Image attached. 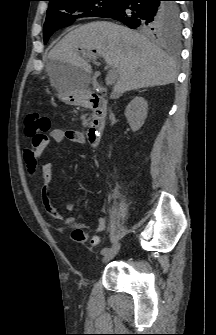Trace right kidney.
<instances>
[{"instance_id": "1", "label": "right kidney", "mask_w": 216, "mask_h": 335, "mask_svg": "<svg viewBox=\"0 0 216 335\" xmlns=\"http://www.w3.org/2000/svg\"><path fill=\"white\" fill-rule=\"evenodd\" d=\"M147 101L143 97H135L126 106L125 116L133 132L138 131L147 117Z\"/></svg>"}]
</instances>
